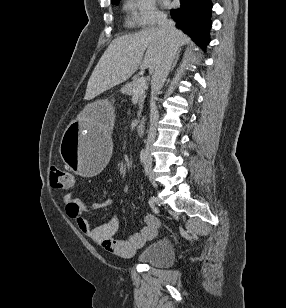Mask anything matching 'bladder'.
I'll use <instances>...</instances> for the list:
<instances>
[{
	"label": "bladder",
	"instance_id": "bladder-1",
	"mask_svg": "<svg viewBox=\"0 0 286 308\" xmlns=\"http://www.w3.org/2000/svg\"><path fill=\"white\" fill-rule=\"evenodd\" d=\"M175 258L174 247L170 240L159 239L146 246L138 255L140 263L158 267L169 266Z\"/></svg>",
	"mask_w": 286,
	"mask_h": 308
}]
</instances>
